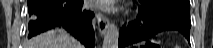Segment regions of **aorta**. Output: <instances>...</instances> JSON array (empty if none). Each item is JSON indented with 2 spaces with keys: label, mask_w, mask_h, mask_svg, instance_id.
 Returning a JSON list of instances; mask_svg holds the SVG:
<instances>
[{
  "label": "aorta",
  "mask_w": 213,
  "mask_h": 48,
  "mask_svg": "<svg viewBox=\"0 0 213 48\" xmlns=\"http://www.w3.org/2000/svg\"><path fill=\"white\" fill-rule=\"evenodd\" d=\"M119 29L114 22H109L103 40V48H118Z\"/></svg>",
  "instance_id": "obj_1"
}]
</instances>
